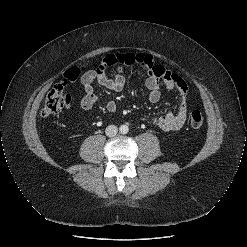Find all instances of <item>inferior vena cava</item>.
I'll list each match as a JSON object with an SVG mask.
<instances>
[{"mask_svg": "<svg viewBox=\"0 0 247 247\" xmlns=\"http://www.w3.org/2000/svg\"><path fill=\"white\" fill-rule=\"evenodd\" d=\"M117 132H118V128L115 125H109V126L106 127V130H105V134L108 137L116 136Z\"/></svg>", "mask_w": 247, "mask_h": 247, "instance_id": "602c4592", "label": "inferior vena cava"}]
</instances>
